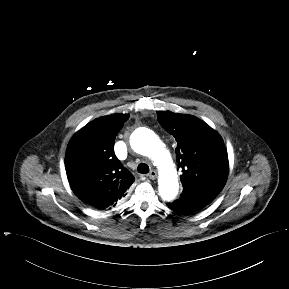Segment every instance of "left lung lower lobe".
Returning <instances> with one entry per match:
<instances>
[{
    "label": "left lung lower lobe",
    "mask_w": 289,
    "mask_h": 289,
    "mask_svg": "<svg viewBox=\"0 0 289 289\" xmlns=\"http://www.w3.org/2000/svg\"><path fill=\"white\" fill-rule=\"evenodd\" d=\"M207 205L208 204L205 202L189 198H180L172 203L167 204L171 210L182 214L198 212Z\"/></svg>",
    "instance_id": "obj_1"
}]
</instances>
